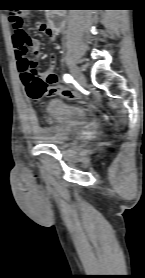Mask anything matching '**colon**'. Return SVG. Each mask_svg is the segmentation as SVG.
<instances>
[{"instance_id": "colon-1", "label": "colon", "mask_w": 145, "mask_h": 278, "mask_svg": "<svg viewBox=\"0 0 145 278\" xmlns=\"http://www.w3.org/2000/svg\"><path fill=\"white\" fill-rule=\"evenodd\" d=\"M41 23H43V22H41ZM10 24L12 26L13 35H14V39L16 42V45H15L16 55L18 57H24L26 54V50L25 49L19 50V49H17V47H19L20 45L26 46V45L30 44L31 38L27 34V32L23 26V22H22L21 18L17 14H12L10 16ZM64 92L70 96L74 95V93L69 89H65ZM31 96L34 97L35 93L31 92Z\"/></svg>"}]
</instances>
